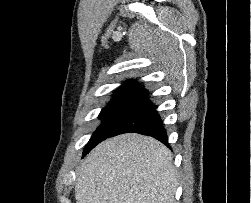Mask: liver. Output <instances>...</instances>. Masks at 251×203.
Here are the masks:
<instances>
[{"mask_svg":"<svg viewBox=\"0 0 251 203\" xmlns=\"http://www.w3.org/2000/svg\"><path fill=\"white\" fill-rule=\"evenodd\" d=\"M172 159L152 137L109 138L78 167L76 203H174L178 182Z\"/></svg>","mask_w":251,"mask_h":203,"instance_id":"1","label":"liver"}]
</instances>
